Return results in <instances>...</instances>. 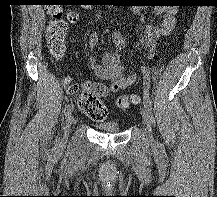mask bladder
<instances>
[{
  "instance_id": "31cf9c89",
  "label": "bladder",
  "mask_w": 217,
  "mask_h": 197,
  "mask_svg": "<svg viewBox=\"0 0 217 197\" xmlns=\"http://www.w3.org/2000/svg\"><path fill=\"white\" fill-rule=\"evenodd\" d=\"M94 127L98 130L115 134L120 131V125L116 122H102V123H96Z\"/></svg>"
}]
</instances>
